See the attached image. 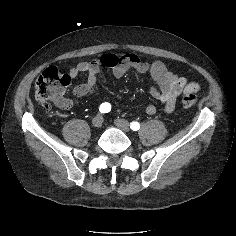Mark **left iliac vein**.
I'll list each match as a JSON object with an SVG mask.
<instances>
[{
    "label": "left iliac vein",
    "instance_id": "1",
    "mask_svg": "<svg viewBox=\"0 0 236 236\" xmlns=\"http://www.w3.org/2000/svg\"><path fill=\"white\" fill-rule=\"evenodd\" d=\"M114 123L122 131H124V132H129L130 131L129 122L126 121V120H124V119H116Z\"/></svg>",
    "mask_w": 236,
    "mask_h": 236
}]
</instances>
